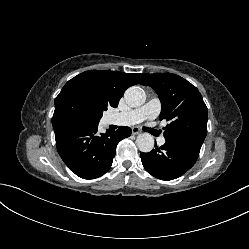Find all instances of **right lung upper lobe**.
<instances>
[{
	"mask_svg": "<svg viewBox=\"0 0 249 249\" xmlns=\"http://www.w3.org/2000/svg\"><path fill=\"white\" fill-rule=\"evenodd\" d=\"M144 78L145 74L90 70L69 80L62 90L76 88L87 91L106 110L108 106L117 107L125 90L141 84Z\"/></svg>",
	"mask_w": 249,
	"mask_h": 249,
	"instance_id": "cb5924a9",
	"label": "right lung upper lobe"
}]
</instances>
